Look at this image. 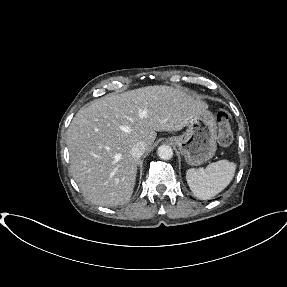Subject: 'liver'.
Segmentation results:
<instances>
[{
	"mask_svg": "<svg viewBox=\"0 0 287 287\" xmlns=\"http://www.w3.org/2000/svg\"><path fill=\"white\" fill-rule=\"evenodd\" d=\"M207 105L186 89L146 86L106 95L82 107L67 130L70 171L83 196L100 206L127 203L133 193L138 142L150 151L157 131H180Z\"/></svg>",
	"mask_w": 287,
	"mask_h": 287,
	"instance_id": "6515ba94",
	"label": "liver"
}]
</instances>
